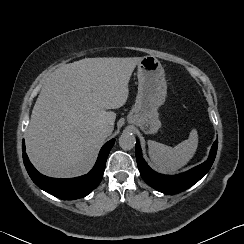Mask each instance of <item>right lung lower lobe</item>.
<instances>
[{"label": "right lung lower lobe", "mask_w": 244, "mask_h": 244, "mask_svg": "<svg viewBox=\"0 0 244 244\" xmlns=\"http://www.w3.org/2000/svg\"><path fill=\"white\" fill-rule=\"evenodd\" d=\"M114 141L115 139H112L102 147L95 166L88 174L76 178L55 179L40 174L25 153L24 141L22 144L23 161L29 176L39 188L63 200L79 199L88 195L101 182L106 160Z\"/></svg>", "instance_id": "right-lung-lower-lobe-1"}]
</instances>
